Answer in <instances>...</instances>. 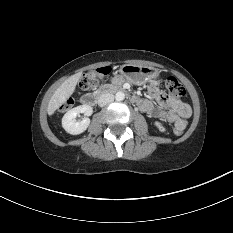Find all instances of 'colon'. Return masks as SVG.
<instances>
[{
	"label": "colon",
	"mask_w": 233,
	"mask_h": 233,
	"mask_svg": "<svg viewBox=\"0 0 233 233\" xmlns=\"http://www.w3.org/2000/svg\"><path fill=\"white\" fill-rule=\"evenodd\" d=\"M110 73L109 67H102L97 69L94 72H89L83 75V77L80 80V87L83 90H90L95 88L99 81L104 79L108 74ZM166 89L168 94L171 97H182L185 95V88L183 85L175 78V77H169L166 81ZM72 100L66 101L62 105V109H68L72 105ZM183 130L178 127L174 126V133L176 135L182 134Z\"/></svg>",
	"instance_id": "1"
}]
</instances>
